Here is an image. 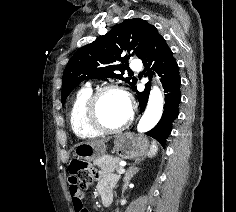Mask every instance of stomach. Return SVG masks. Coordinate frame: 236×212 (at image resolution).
<instances>
[{"mask_svg":"<svg viewBox=\"0 0 236 212\" xmlns=\"http://www.w3.org/2000/svg\"><path fill=\"white\" fill-rule=\"evenodd\" d=\"M113 142L116 153L123 158H140L150 151V144L146 137H137L131 133L116 135ZM105 153V145L96 147L87 143H80L74 149V156L89 162L102 159Z\"/></svg>","mask_w":236,"mask_h":212,"instance_id":"obj_1","label":"stomach"}]
</instances>
